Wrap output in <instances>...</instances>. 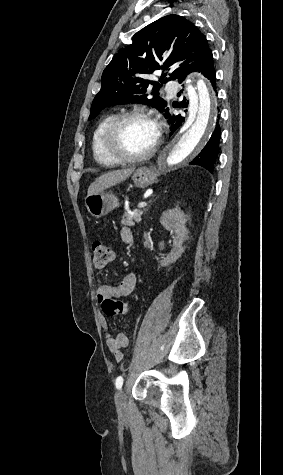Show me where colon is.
Wrapping results in <instances>:
<instances>
[{
  "label": "colon",
  "instance_id": "1",
  "mask_svg": "<svg viewBox=\"0 0 283 475\" xmlns=\"http://www.w3.org/2000/svg\"><path fill=\"white\" fill-rule=\"evenodd\" d=\"M93 264L95 267H104L110 261L113 256L112 247L102 240H96L93 242ZM104 314H120L127 310V304L122 303L120 300L114 302L105 299L103 302Z\"/></svg>",
  "mask_w": 283,
  "mask_h": 475
}]
</instances>
